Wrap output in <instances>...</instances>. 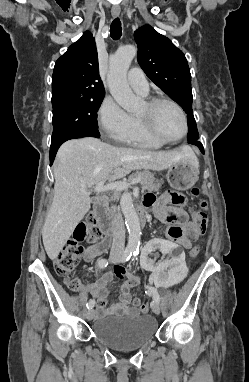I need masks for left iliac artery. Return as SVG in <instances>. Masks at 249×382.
<instances>
[{"mask_svg":"<svg viewBox=\"0 0 249 382\" xmlns=\"http://www.w3.org/2000/svg\"><path fill=\"white\" fill-rule=\"evenodd\" d=\"M133 255H134V256H137V255H138V252H134ZM148 293H149V294H152V297H153L154 302H157V303L160 302V296H159V294H158L156 288H154V287L149 288Z\"/></svg>","mask_w":249,"mask_h":382,"instance_id":"44dca946","label":"left iliac artery"}]
</instances>
